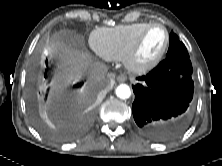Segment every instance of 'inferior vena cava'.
<instances>
[{
  "label": "inferior vena cava",
  "mask_w": 222,
  "mask_h": 166,
  "mask_svg": "<svg viewBox=\"0 0 222 166\" xmlns=\"http://www.w3.org/2000/svg\"><path fill=\"white\" fill-rule=\"evenodd\" d=\"M108 68L105 64L95 63L92 64L87 70V77L90 83H98L104 80Z\"/></svg>",
  "instance_id": "1"
}]
</instances>
